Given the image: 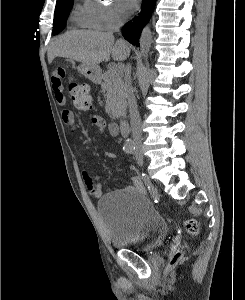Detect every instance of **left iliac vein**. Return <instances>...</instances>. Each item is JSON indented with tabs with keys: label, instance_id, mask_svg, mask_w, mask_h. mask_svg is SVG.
Instances as JSON below:
<instances>
[{
	"label": "left iliac vein",
	"instance_id": "left-iliac-vein-1",
	"mask_svg": "<svg viewBox=\"0 0 245 300\" xmlns=\"http://www.w3.org/2000/svg\"><path fill=\"white\" fill-rule=\"evenodd\" d=\"M136 161H137L138 165L143 164V157L140 153L136 154Z\"/></svg>",
	"mask_w": 245,
	"mask_h": 300
}]
</instances>
